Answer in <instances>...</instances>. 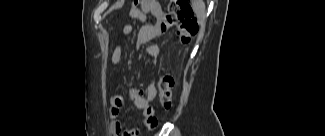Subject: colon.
<instances>
[{"label": "colon", "mask_w": 325, "mask_h": 136, "mask_svg": "<svg viewBox=\"0 0 325 136\" xmlns=\"http://www.w3.org/2000/svg\"><path fill=\"white\" fill-rule=\"evenodd\" d=\"M135 6L140 5V0H135ZM169 12L172 16L168 23L176 27V33L183 44H187L198 31V23L189 0H170ZM173 78L168 74L160 76L158 81V96L162 107L166 110L172 106Z\"/></svg>", "instance_id": "obj_1"}]
</instances>
